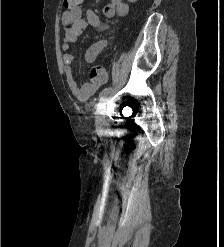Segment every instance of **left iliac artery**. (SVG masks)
<instances>
[{
    "instance_id": "44dca946",
    "label": "left iliac artery",
    "mask_w": 224,
    "mask_h": 247,
    "mask_svg": "<svg viewBox=\"0 0 224 247\" xmlns=\"http://www.w3.org/2000/svg\"><path fill=\"white\" fill-rule=\"evenodd\" d=\"M110 90H111L110 87L104 88V89L100 92V95H99L100 99H101L104 95L108 94V93L110 92Z\"/></svg>"
}]
</instances>
